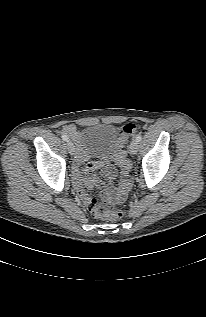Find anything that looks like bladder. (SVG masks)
I'll use <instances>...</instances> for the list:
<instances>
[{"mask_svg":"<svg viewBox=\"0 0 206 317\" xmlns=\"http://www.w3.org/2000/svg\"><path fill=\"white\" fill-rule=\"evenodd\" d=\"M79 141L87 151L115 155L122 151L123 143L119 132L111 124L86 126L79 134Z\"/></svg>","mask_w":206,"mask_h":317,"instance_id":"obj_1","label":"bladder"}]
</instances>
